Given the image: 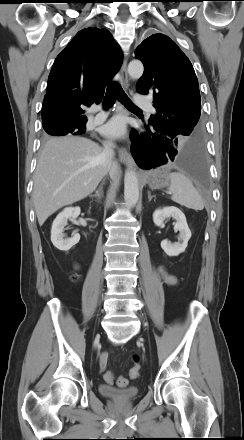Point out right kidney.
Segmentation results:
<instances>
[{
	"instance_id": "obj_1",
	"label": "right kidney",
	"mask_w": 244,
	"mask_h": 440,
	"mask_svg": "<svg viewBox=\"0 0 244 440\" xmlns=\"http://www.w3.org/2000/svg\"><path fill=\"white\" fill-rule=\"evenodd\" d=\"M80 207H67L55 218L51 228V241L53 245L61 250L68 251L80 240V235L75 233L73 237L64 239V227L67 225L68 219L74 220L80 215Z\"/></svg>"
}]
</instances>
